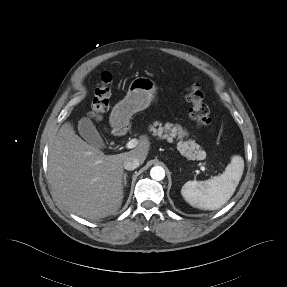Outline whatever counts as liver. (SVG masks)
<instances>
[{
    "instance_id": "liver-1",
    "label": "liver",
    "mask_w": 287,
    "mask_h": 287,
    "mask_svg": "<svg viewBox=\"0 0 287 287\" xmlns=\"http://www.w3.org/2000/svg\"><path fill=\"white\" fill-rule=\"evenodd\" d=\"M150 142L140 137L139 145L116 155H105L87 144L70 122L59 129L49 147L48 174L51 188L73 213L90 220L112 215L122 205L123 162L135 157L143 163Z\"/></svg>"
}]
</instances>
